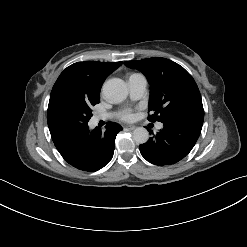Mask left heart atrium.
<instances>
[{"instance_id": "1", "label": "left heart atrium", "mask_w": 247, "mask_h": 247, "mask_svg": "<svg viewBox=\"0 0 247 247\" xmlns=\"http://www.w3.org/2000/svg\"><path fill=\"white\" fill-rule=\"evenodd\" d=\"M119 117L123 120H131L133 118V112L130 108H125L120 111Z\"/></svg>"}]
</instances>
